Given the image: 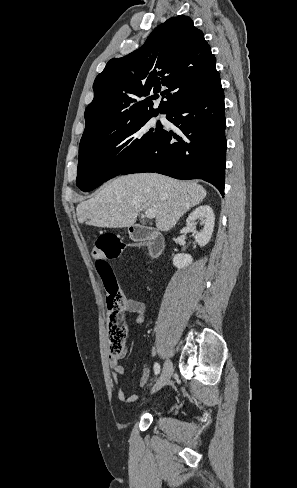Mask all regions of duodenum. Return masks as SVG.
<instances>
[{"label":"duodenum","instance_id":"1","mask_svg":"<svg viewBox=\"0 0 297 488\" xmlns=\"http://www.w3.org/2000/svg\"><path fill=\"white\" fill-rule=\"evenodd\" d=\"M130 235L134 241L147 243L151 258H157L162 253L164 239L157 231L142 225H133L130 227Z\"/></svg>","mask_w":297,"mask_h":488}]
</instances>
